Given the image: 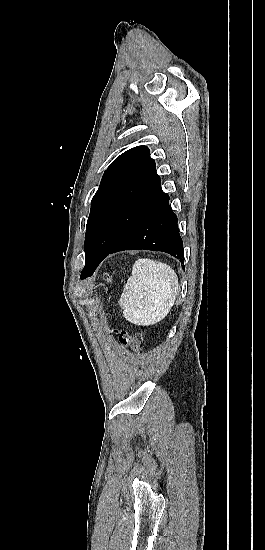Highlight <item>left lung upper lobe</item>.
Here are the masks:
<instances>
[{"label":"left lung upper lobe","mask_w":265,"mask_h":550,"mask_svg":"<svg viewBox=\"0 0 265 550\" xmlns=\"http://www.w3.org/2000/svg\"><path fill=\"white\" fill-rule=\"evenodd\" d=\"M166 194L146 146L118 156L105 171L91 203L85 257L93 249L110 250Z\"/></svg>","instance_id":"obj_1"}]
</instances>
